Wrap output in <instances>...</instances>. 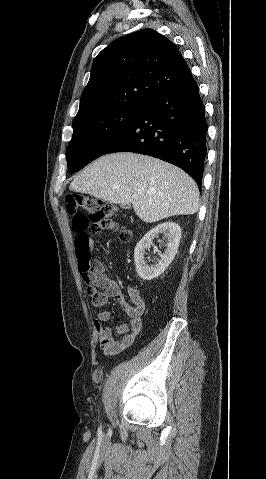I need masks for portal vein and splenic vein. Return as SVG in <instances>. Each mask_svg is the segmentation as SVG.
Segmentation results:
<instances>
[{"instance_id": "18ae733b", "label": "portal vein and splenic vein", "mask_w": 266, "mask_h": 479, "mask_svg": "<svg viewBox=\"0 0 266 479\" xmlns=\"http://www.w3.org/2000/svg\"><path fill=\"white\" fill-rule=\"evenodd\" d=\"M133 198H134V199H138L139 196H138V195H133Z\"/></svg>"}]
</instances>
